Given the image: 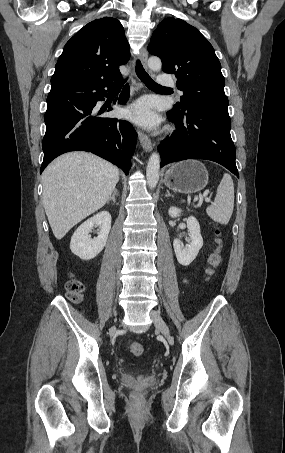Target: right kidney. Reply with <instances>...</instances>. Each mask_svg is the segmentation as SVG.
<instances>
[{
    "instance_id": "right-kidney-1",
    "label": "right kidney",
    "mask_w": 285,
    "mask_h": 453,
    "mask_svg": "<svg viewBox=\"0 0 285 453\" xmlns=\"http://www.w3.org/2000/svg\"><path fill=\"white\" fill-rule=\"evenodd\" d=\"M96 225L99 226L98 236L91 239L89 232ZM110 229L111 215L109 212L101 211L89 218L77 228L71 238L72 253L82 260L95 258L105 247Z\"/></svg>"
}]
</instances>
